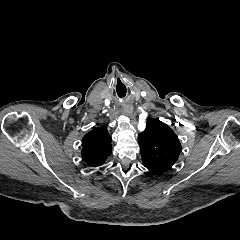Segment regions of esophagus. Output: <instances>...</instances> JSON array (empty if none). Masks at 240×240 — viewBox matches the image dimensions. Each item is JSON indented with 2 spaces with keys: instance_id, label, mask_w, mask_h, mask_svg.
I'll list each match as a JSON object with an SVG mask.
<instances>
[{
  "instance_id": "1",
  "label": "esophagus",
  "mask_w": 240,
  "mask_h": 240,
  "mask_svg": "<svg viewBox=\"0 0 240 240\" xmlns=\"http://www.w3.org/2000/svg\"><path fill=\"white\" fill-rule=\"evenodd\" d=\"M121 106V112L130 114L131 113V106L127 102H123L120 104Z\"/></svg>"
}]
</instances>
